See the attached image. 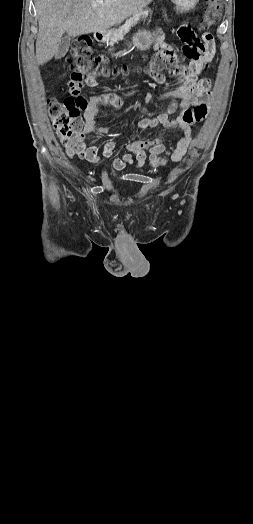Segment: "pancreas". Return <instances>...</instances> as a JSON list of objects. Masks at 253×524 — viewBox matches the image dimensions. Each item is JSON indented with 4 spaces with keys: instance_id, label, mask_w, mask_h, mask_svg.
<instances>
[{
    "instance_id": "obj_1",
    "label": "pancreas",
    "mask_w": 253,
    "mask_h": 524,
    "mask_svg": "<svg viewBox=\"0 0 253 524\" xmlns=\"http://www.w3.org/2000/svg\"><path fill=\"white\" fill-rule=\"evenodd\" d=\"M152 14L151 9L141 10L135 13L132 17L126 20L118 29H112L109 32V44H114L118 40L123 39V36L130 31L141 19H146L148 15Z\"/></svg>"
}]
</instances>
